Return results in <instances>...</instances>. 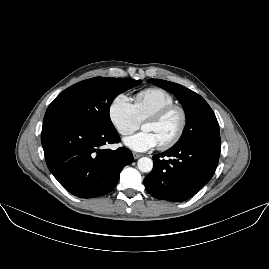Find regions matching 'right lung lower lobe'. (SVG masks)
<instances>
[{
	"instance_id": "obj_1",
	"label": "right lung lower lobe",
	"mask_w": 269,
	"mask_h": 269,
	"mask_svg": "<svg viewBox=\"0 0 269 269\" xmlns=\"http://www.w3.org/2000/svg\"><path fill=\"white\" fill-rule=\"evenodd\" d=\"M115 129H101L68 113L47 109L41 134L50 172L70 193L80 198L103 196L119 181L121 170L132 163V152L117 143Z\"/></svg>"
}]
</instances>
